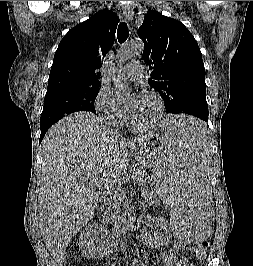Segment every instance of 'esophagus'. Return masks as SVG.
<instances>
[{
    "label": "esophagus",
    "instance_id": "obj_1",
    "mask_svg": "<svg viewBox=\"0 0 253 266\" xmlns=\"http://www.w3.org/2000/svg\"><path fill=\"white\" fill-rule=\"evenodd\" d=\"M122 10H123V15H124L125 19L128 22H131L133 20V10H132V8L129 5H124L122 7Z\"/></svg>",
    "mask_w": 253,
    "mask_h": 266
}]
</instances>
